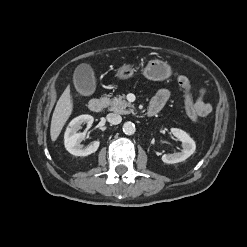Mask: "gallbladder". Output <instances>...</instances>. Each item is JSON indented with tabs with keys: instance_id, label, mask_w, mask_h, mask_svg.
<instances>
[{
	"instance_id": "bac80fb5",
	"label": "gallbladder",
	"mask_w": 247,
	"mask_h": 247,
	"mask_svg": "<svg viewBox=\"0 0 247 247\" xmlns=\"http://www.w3.org/2000/svg\"><path fill=\"white\" fill-rule=\"evenodd\" d=\"M76 90L84 96L92 95L96 89L94 71L88 64L78 65L74 71L73 77Z\"/></svg>"
}]
</instances>
